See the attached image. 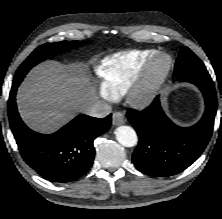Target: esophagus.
Listing matches in <instances>:
<instances>
[{"label":"esophagus","mask_w":222,"mask_h":219,"mask_svg":"<svg viewBox=\"0 0 222 219\" xmlns=\"http://www.w3.org/2000/svg\"><path fill=\"white\" fill-rule=\"evenodd\" d=\"M124 122H125V117L122 112L116 111L113 113L112 123L114 126L122 125L124 124Z\"/></svg>","instance_id":"obj_1"}]
</instances>
